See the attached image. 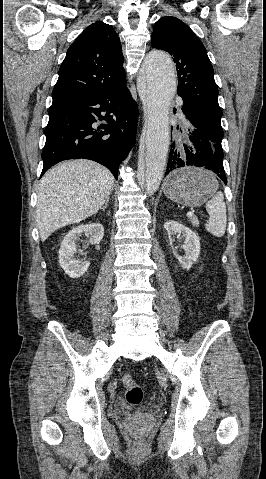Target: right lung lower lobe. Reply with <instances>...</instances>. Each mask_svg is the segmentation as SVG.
I'll use <instances>...</instances> for the list:
<instances>
[{
  "mask_svg": "<svg viewBox=\"0 0 266 479\" xmlns=\"http://www.w3.org/2000/svg\"><path fill=\"white\" fill-rule=\"evenodd\" d=\"M138 107L126 82L89 94L54 99L44 133L41 176L67 159H90L117 178L135 140ZM101 121L102 123L97 125Z\"/></svg>",
  "mask_w": 266,
  "mask_h": 479,
  "instance_id": "1",
  "label": "right lung lower lobe"
}]
</instances>
